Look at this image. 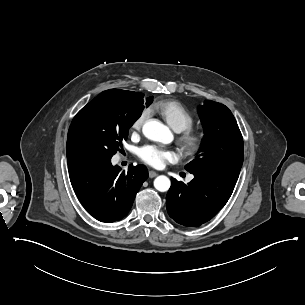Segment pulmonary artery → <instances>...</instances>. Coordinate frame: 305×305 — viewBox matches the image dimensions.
I'll return each instance as SVG.
<instances>
[{
    "mask_svg": "<svg viewBox=\"0 0 305 305\" xmlns=\"http://www.w3.org/2000/svg\"><path fill=\"white\" fill-rule=\"evenodd\" d=\"M194 178V176L193 175H190L189 177H188V180H192Z\"/></svg>",
    "mask_w": 305,
    "mask_h": 305,
    "instance_id": "e3ab8cb5",
    "label": "pulmonary artery"
}]
</instances>
